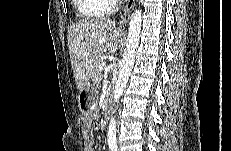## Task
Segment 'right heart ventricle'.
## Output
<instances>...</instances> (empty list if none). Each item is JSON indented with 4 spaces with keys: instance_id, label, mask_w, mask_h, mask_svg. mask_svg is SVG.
I'll use <instances>...</instances> for the list:
<instances>
[{
    "instance_id": "right-heart-ventricle-1",
    "label": "right heart ventricle",
    "mask_w": 231,
    "mask_h": 151,
    "mask_svg": "<svg viewBox=\"0 0 231 151\" xmlns=\"http://www.w3.org/2000/svg\"><path fill=\"white\" fill-rule=\"evenodd\" d=\"M76 7L80 22H91L103 17L107 11V2L102 0H77Z\"/></svg>"
}]
</instances>
